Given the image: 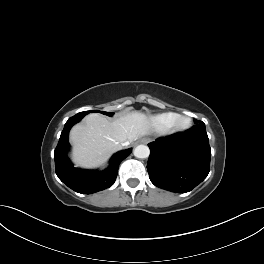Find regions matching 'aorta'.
<instances>
[{
  "instance_id": "1",
  "label": "aorta",
  "mask_w": 264,
  "mask_h": 264,
  "mask_svg": "<svg viewBox=\"0 0 264 264\" xmlns=\"http://www.w3.org/2000/svg\"><path fill=\"white\" fill-rule=\"evenodd\" d=\"M133 153L136 158L144 159L149 157L150 149L148 146L141 144L135 147Z\"/></svg>"
}]
</instances>
